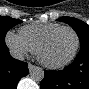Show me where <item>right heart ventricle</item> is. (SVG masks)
Listing matches in <instances>:
<instances>
[{
    "label": "right heart ventricle",
    "mask_w": 89,
    "mask_h": 89,
    "mask_svg": "<svg viewBox=\"0 0 89 89\" xmlns=\"http://www.w3.org/2000/svg\"><path fill=\"white\" fill-rule=\"evenodd\" d=\"M59 27L61 25L58 23L29 24L20 28L19 35L31 46L33 52H36L45 36Z\"/></svg>",
    "instance_id": "right-heart-ventricle-1"
}]
</instances>
